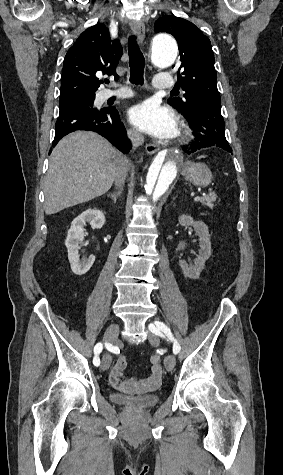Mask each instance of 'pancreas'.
Returning a JSON list of instances; mask_svg holds the SVG:
<instances>
[{"label": "pancreas", "instance_id": "cf45deb5", "mask_svg": "<svg viewBox=\"0 0 283 475\" xmlns=\"http://www.w3.org/2000/svg\"><path fill=\"white\" fill-rule=\"evenodd\" d=\"M216 194L214 192H211L210 196H204V198H200L199 202L202 204V206H208V208H213L214 204L213 202H216Z\"/></svg>", "mask_w": 283, "mask_h": 475}]
</instances>
